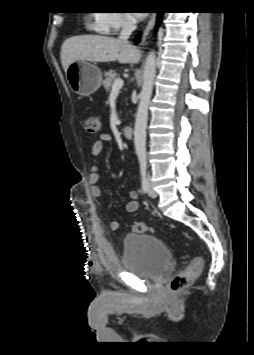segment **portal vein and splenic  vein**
Segmentation results:
<instances>
[{"instance_id":"1","label":"portal vein and splenic vein","mask_w":254,"mask_h":355,"mask_svg":"<svg viewBox=\"0 0 254 355\" xmlns=\"http://www.w3.org/2000/svg\"><path fill=\"white\" fill-rule=\"evenodd\" d=\"M124 82L122 79L118 78L114 81L113 85H112V91H119L122 86H123Z\"/></svg>"}]
</instances>
